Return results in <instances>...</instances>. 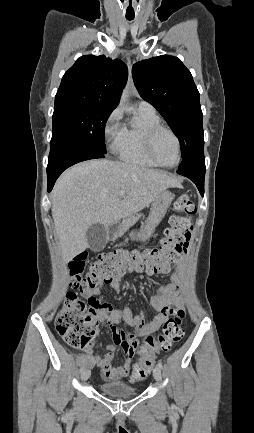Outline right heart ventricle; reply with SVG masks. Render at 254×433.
<instances>
[{
  "mask_svg": "<svg viewBox=\"0 0 254 433\" xmlns=\"http://www.w3.org/2000/svg\"><path fill=\"white\" fill-rule=\"evenodd\" d=\"M156 124H160V119L155 112L138 110L137 123L123 125L115 141L114 150L118 158L126 163L144 168L157 167L148 157L144 146L146 130Z\"/></svg>",
  "mask_w": 254,
  "mask_h": 433,
  "instance_id": "right-heart-ventricle-1",
  "label": "right heart ventricle"
}]
</instances>
